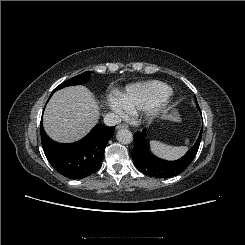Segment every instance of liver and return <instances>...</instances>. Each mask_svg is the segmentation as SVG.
I'll return each instance as SVG.
<instances>
[{
    "label": "liver",
    "instance_id": "1",
    "mask_svg": "<svg viewBox=\"0 0 245 245\" xmlns=\"http://www.w3.org/2000/svg\"><path fill=\"white\" fill-rule=\"evenodd\" d=\"M99 105L84 86H72L57 91L48 102L43 125L53 140L74 142L84 137L98 122Z\"/></svg>",
    "mask_w": 245,
    "mask_h": 245
}]
</instances>
